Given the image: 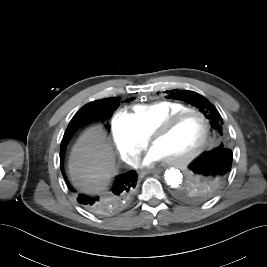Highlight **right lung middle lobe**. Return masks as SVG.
I'll list each match as a JSON object with an SVG mask.
<instances>
[{"label": "right lung middle lobe", "mask_w": 267, "mask_h": 267, "mask_svg": "<svg viewBox=\"0 0 267 267\" xmlns=\"http://www.w3.org/2000/svg\"><path fill=\"white\" fill-rule=\"evenodd\" d=\"M113 102H114V99H113V98H112V99L108 98V99H103V100H101L98 104H104V105H105V110L108 111V110H110V108H111ZM94 103L97 104V102H94ZM116 108H117V107H116Z\"/></svg>", "instance_id": "1"}]
</instances>
